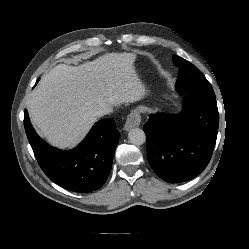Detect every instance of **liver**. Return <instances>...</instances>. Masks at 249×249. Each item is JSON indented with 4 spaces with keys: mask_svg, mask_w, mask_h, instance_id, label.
<instances>
[{
    "mask_svg": "<svg viewBox=\"0 0 249 249\" xmlns=\"http://www.w3.org/2000/svg\"><path fill=\"white\" fill-rule=\"evenodd\" d=\"M135 60L132 53H108L77 67L55 66L28 99L32 123L52 145L75 146L101 108L135 102L146 94Z\"/></svg>",
    "mask_w": 249,
    "mask_h": 249,
    "instance_id": "liver-1",
    "label": "liver"
}]
</instances>
